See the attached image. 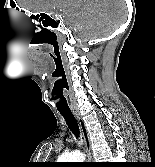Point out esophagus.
Returning a JSON list of instances; mask_svg holds the SVG:
<instances>
[{"instance_id": "34e87169", "label": "esophagus", "mask_w": 155, "mask_h": 167, "mask_svg": "<svg viewBox=\"0 0 155 167\" xmlns=\"http://www.w3.org/2000/svg\"><path fill=\"white\" fill-rule=\"evenodd\" d=\"M74 115H75V117L78 121V124H79V128H80L81 135L83 138L85 152L87 155V160L89 162H91L93 160V156H92L91 139H90L89 131L86 127L85 121H84L83 117L81 116V114L78 111H74Z\"/></svg>"}]
</instances>
